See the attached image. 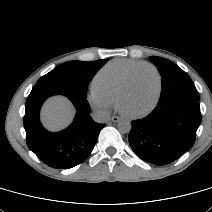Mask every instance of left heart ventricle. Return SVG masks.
Listing matches in <instances>:
<instances>
[{
  "instance_id": "left-heart-ventricle-1",
  "label": "left heart ventricle",
  "mask_w": 212,
  "mask_h": 212,
  "mask_svg": "<svg viewBox=\"0 0 212 212\" xmlns=\"http://www.w3.org/2000/svg\"><path fill=\"white\" fill-rule=\"evenodd\" d=\"M158 89V80L149 68L140 69L125 93L121 108L127 113H141L154 102Z\"/></svg>"
}]
</instances>
